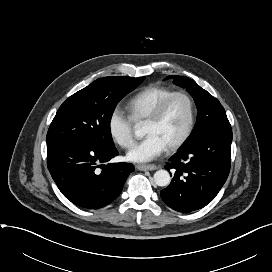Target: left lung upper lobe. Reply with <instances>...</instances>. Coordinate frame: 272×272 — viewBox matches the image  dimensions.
Returning <instances> with one entry per match:
<instances>
[{"instance_id":"5c2ea615","label":"left lung upper lobe","mask_w":272,"mask_h":272,"mask_svg":"<svg viewBox=\"0 0 272 272\" xmlns=\"http://www.w3.org/2000/svg\"><path fill=\"white\" fill-rule=\"evenodd\" d=\"M168 78L174 79L176 85L187 89L193 97L198 109L196 125L183 147L188 146L204 136L231 131V125L225 110L215 97L188 77H175L172 75L168 76L167 79Z\"/></svg>"}]
</instances>
